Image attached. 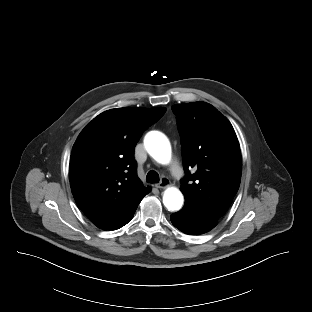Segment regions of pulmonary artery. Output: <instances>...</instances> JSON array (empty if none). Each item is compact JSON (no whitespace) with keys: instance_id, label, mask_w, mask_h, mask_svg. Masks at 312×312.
<instances>
[{"instance_id":"e3ab8cb5","label":"pulmonary artery","mask_w":312,"mask_h":312,"mask_svg":"<svg viewBox=\"0 0 312 312\" xmlns=\"http://www.w3.org/2000/svg\"><path fill=\"white\" fill-rule=\"evenodd\" d=\"M173 173L178 178L182 177V173H181L180 167H179L178 163H176V162L174 163V166H173Z\"/></svg>"}]
</instances>
